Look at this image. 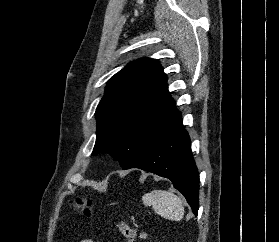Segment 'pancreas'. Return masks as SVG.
Listing matches in <instances>:
<instances>
[{"mask_svg": "<svg viewBox=\"0 0 279 242\" xmlns=\"http://www.w3.org/2000/svg\"><path fill=\"white\" fill-rule=\"evenodd\" d=\"M140 237H141V238H145V237H146V234H140Z\"/></svg>", "mask_w": 279, "mask_h": 242, "instance_id": "obj_1", "label": "pancreas"}]
</instances>
